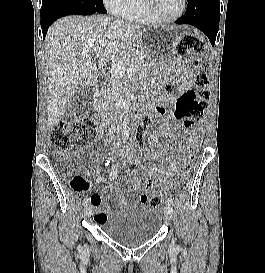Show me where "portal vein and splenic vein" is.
I'll use <instances>...</instances> for the list:
<instances>
[{
    "label": "portal vein and splenic vein",
    "mask_w": 265,
    "mask_h": 273,
    "mask_svg": "<svg viewBox=\"0 0 265 273\" xmlns=\"http://www.w3.org/2000/svg\"><path fill=\"white\" fill-rule=\"evenodd\" d=\"M95 57L100 58L101 55L99 53H97V55ZM111 69L113 70L114 74L119 77H123L125 75V72H127L128 74L134 72V69L131 67L125 69L122 62H113L111 64Z\"/></svg>",
    "instance_id": "obj_1"
}]
</instances>
